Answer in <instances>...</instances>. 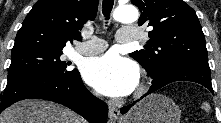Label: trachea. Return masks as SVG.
I'll use <instances>...</instances> for the list:
<instances>
[{
	"label": "trachea",
	"instance_id": "1",
	"mask_svg": "<svg viewBox=\"0 0 221 123\" xmlns=\"http://www.w3.org/2000/svg\"><path fill=\"white\" fill-rule=\"evenodd\" d=\"M113 4L114 0H103V14L106 17V20L109 19Z\"/></svg>",
	"mask_w": 221,
	"mask_h": 123
}]
</instances>
